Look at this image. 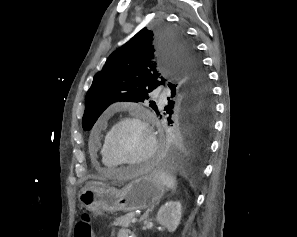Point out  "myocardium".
I'll return each instance as SVG.
<instances>
[{"label": "myocardium", "mask_w": 297, "mask_h": 237, "mask_svg": "<svg viewBox=\"0 0 297 237\" xmlns=\"http://www.w3.org/2000/svg\"><path fill=\"white\" fill-rule=\"evenodd\" d=\"M126 123H137L145 130L147 136H148V150L145 155H143L141 158L136 160H125L120 158L112 149L111 147V137L113 133L122 125ZM105 148L110 155V157L117 162L119 166H128V165H139L144 164L148 161H150L156 154L158 150V140L157 135L154 131V128L151 124L150 117L146 114L137 113L132 115H127L119 120H117L113 126L109 129L105 136Z\"/></svg>", "instance_id": "1"}]
</instances>
